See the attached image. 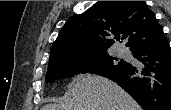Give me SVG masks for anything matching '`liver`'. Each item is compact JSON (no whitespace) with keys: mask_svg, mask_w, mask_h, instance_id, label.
<instances>
[{"mask_svg":"<svg viewBox=\"0 0 171 110\" xmlns=\"http://www.w3.org/2000/svg\"><path fill=\"white\" fill-rule=\"evenodd\" d=\"M69 98L41 110H141L120 86L101 76H84L68 86Z\"/></svg>","mask_w":171,"mask_h":110,"instance_id":"1","label":"liver"}]
</instances>
